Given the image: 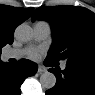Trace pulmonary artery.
<instances>
[{"mask_svg":"<svg viewBox=\"0 0 95 95\" xmlns=\"http://www.w3.org/2000/svg\"><path fill=\"white\" fill-rule=\"evenodd\" d=\"M33 32H34V38L37 41H42L47 39L51 34V28L50 25L45 21H38L33 26ZM21 52L18 50H9L4 53L5 59H11V58H20ZM61 68H66V62H63L61 64Z\"/></svg>","mask_w":95,"mask_h":95,"instance_id":"e3ab8cb5","label":"pulmonary artery"}]
</instances>
